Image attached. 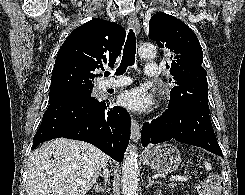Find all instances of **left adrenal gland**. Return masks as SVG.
<instances>
[{
    "label": "left adrenal gland",
    "mask_w": 245,
    "mask_h": 195,
    "mask_svg": "<svg viewBox=\"0 0 245 195\" xmlns=\"http://www.w3.org/2000/svg\"><path fill=\"white\" fill-rule=\"evenodd\" d=\"M147 178H148L147 188H149V187L152 186L153 184H160L159 181L153 180V179L149 176V174L147 175Z\"/></svg>",
    "instance_id": "1"
}]
</instances>
